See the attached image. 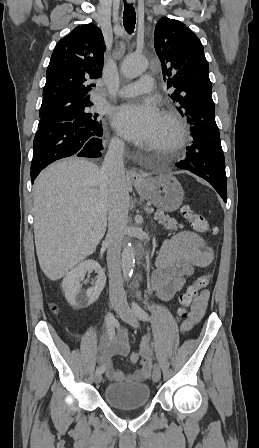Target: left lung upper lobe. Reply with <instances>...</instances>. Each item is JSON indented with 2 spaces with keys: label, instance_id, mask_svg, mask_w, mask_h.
Wrapping results in <instances>:
<instances>
[{
  "label": "left lung upper lobe",
  "instance_id": "left-lung-upper-lobe-1",
  "mask_svg": "<svg viewBox=\"0 0 259 448\" xmlns=\"http://www.w3.org/2000/svg\"><path fill=\"white\" fill-rule=\"evenodd\" d=\"M154 45L171 99L182 116L215 121L209 65L199 38L185 24L170 18L155 26Z\"/></svg>",
  "mask_w": 259,
  "mask_h": 448
}]
</instances>
